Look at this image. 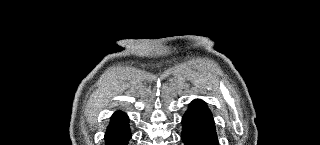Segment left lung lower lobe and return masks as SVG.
Listing matches in <instances>:
<instances>
[{"instance_id":"obj_1","label":"left lung lower lobe","mask_w":320,"mask_h":145,"mask_svg":"<svg viewBox=\"0 0 320 145\" xmlns=\"http://www.w3.org/2000/svg\"><path fill=\"white\" fill-rule=\"evenodd\" d=\"M185 145H218L214 120L206 103L194 100L182 118Z\"/></svg>"}]
</instances>
